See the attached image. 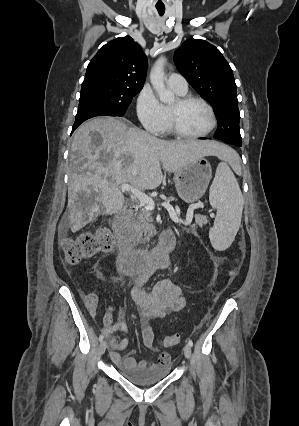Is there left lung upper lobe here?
Instances as JSON below:
<instances>
[{
    "label": "left lung upper lobe",
    "mask_w": 299,
    "mask_h": 426,
    "mask_svg": "<svg viewBox=\"0 0 299 426\" xmlns=\"http://www.w3.org/2000/svg\"><path fill=\"white\" fill-rule=\"evenodd\" d=\"M174 62L189 84L213 105L218 120L214 137L242 146L236 84L221 52L205 40L191 38L176 50Z\"/></svg>",
    "instance_id": "obj_1"
}]
</instances>
